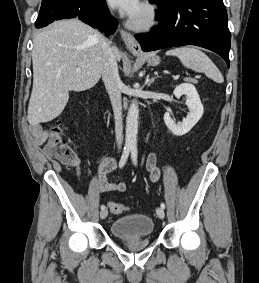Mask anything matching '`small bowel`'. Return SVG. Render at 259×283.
<instances>
[{
	"mask_svg": "<svg viewBox=\"0 0 259 283\" xmlns=\"http://www.w3.org/2000/svg\"><path fill=\"white\" fill-rule=\"evenodd\" d=\"M31 133L37 144H43L50 136V130L44 129L40 125H34L31 127ZM118 161L110 156H104L98 164L95 176L97 178L96 189L101 193H117L124 192L126 190V184L124 182H112L109 181L107 176L117 167ZM146 166L150 172V178L152 181L158 180L160 171L157 167L156 156L150 154L146 161ZM77 174H81L80 164L75 165Z\"/></svg>",
	"mask_w": 259,
	"mask_h": 283,
	"instance_id": "obj_1",
	"label": "small bowel"
}]
</instances>
